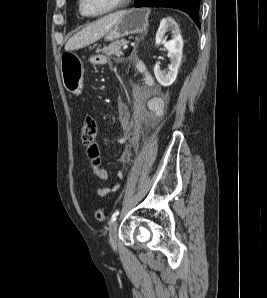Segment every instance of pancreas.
Masks as SVG:
<instances>
[{"instance_id": "cf45deb5", "label": "pancreas", "mask_w": 267, "mask_h": 298, "mask_svg": "<svg viewBox=\"0 0 267 298\" xmlns=\"http://www.w3.org/2000/svg\"><path fill=\"white\" fill-rule=\"evenodd\" d=\"M126 44V40L122 39L120 41H115L111 43L110 45L103 47L102 49L97 50V52H102L103 54L107 56H120L122 54V46Z\"/></svg>"}]
</instances>
